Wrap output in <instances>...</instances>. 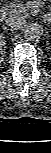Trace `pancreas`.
Segmentation results:
<instances>
[{
	"label": "pancreas",
	"mask_w": 51,
	"mask_h": 153,
	"mask_svg": "<svg viewBox=\"0 0 51 153\" xmlns=\"http://www.w3.org/2000/svg\"><path fill=\"white\" fill-rule=\"evenodd\" d=\"M8 12L9 16H15V15L18 16L22 15L24 17L28 16V10L22 2L9 5Z\"/></svg>",
	"instance_id": "cf45deb5"
}]
</instances>
